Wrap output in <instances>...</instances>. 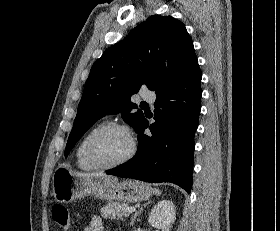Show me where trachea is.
Masks as SVG:
<instances>
[{"mask_svg":"<svg viewBox=\"0 0 280 231\" xmlns=\"http://www.w3.org/2000/svg\"><path fill=\"white\" fill-rule=\"evenodd\" d=\"M140 107H141L142 109L149 110V105H148V103H146V102H142V103L140 104Z\"/></svg>","mask_w":280,"mask_h":231,"instance_id":"1","label":"trachea"}]
</instances>
